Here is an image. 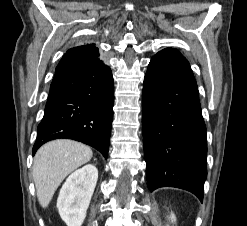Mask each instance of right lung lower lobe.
<instances>
[{"label":"right lung lower lobe","instance_id":"1","mask_svg":"<svg viewBox=\"0 0 247 226\" xmlns=\"http://www.w3.org/2000/svg\"><path fill=\"white\" fill-rule=\"evenodd\" d=\"M114 82L94 45L69 49L56 67L33 154L44 143L68 138L108 156Z\"/></svg>","mask_w":247,"mask_h":226}]
</instances>
